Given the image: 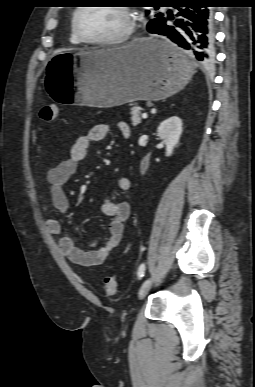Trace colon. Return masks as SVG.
<instances>
[{"label": "colon", "mask_w": 255, "mask_h": 387, "mask_svg": "<svg viewBox=\"0 0 255 387\" xmlns=\"http://www.w3.org/2000/svg\"><path fill=\"white\" fill-rule=\"evenodd\" d=\"M39 116L43 121L53 122L57 118V107L55 105H45L41 108ZM104 292L112 296L117 290V278L114 274L106 276L103 280Z\"/></svg>", "instance_id": "1"}]
</instances>
